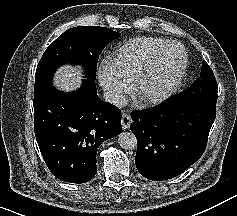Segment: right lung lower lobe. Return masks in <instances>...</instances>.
<instances>
[{
	"label": "right lung lower lobe",
	"mask_w": 237,
	"mask_h": 216,
	"mask_svg": "<svg viewBox=\"0 0 237 216\" xmlns=\"http://www.w3.org/2000/svg\"><path fill=\"white\" fill-rule=\"evenodd\" d=\"M33 105L35 136L49 170L65 182H88L97 174L99 145L122 132L120 110L102 101L88 79L72 93L50 87Z\"/></svg>",
	"instance_id": "98d812e1"
}]
</instances>
